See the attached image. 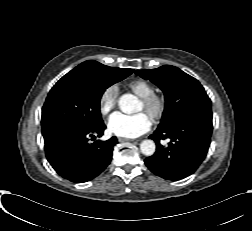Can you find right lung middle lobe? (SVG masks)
Wrapping results in <instances>:
<instances>
[{
  "label": "right lung middle lobe",
  "mask_w": 252,
  "mask_h": 231,
  "mask_svg": "<svg viewBox=\"0 0 252 231\" xmlns=\"http://www.w3.org/2000/svg\"><path fill=\"white\" fill-rule=\"evenodd\" d=\"M132 73L94 60L78 65L50 90L42 108V135L47 137L62 128L92 129L102 124V94Z\"/></svg>",
  "instance_id": "dd1d6c3e"
}]
</instances>
